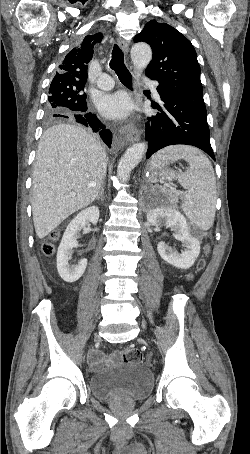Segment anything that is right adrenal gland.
Listing matches in <instances>:
<instances>
[{
	"label": "right adrenal gland",
	"mask_w": 250,
	"mask_h": 454,
	"mask_svg": "<svg viewBox=\"0 0 250 454\" xmlns=\"http://www.w3.org/2000/svg\"><path fill=\"white\" fill-rule=\"evenodd\" d=\"M104 184H105V180H103V182L101 184L100 192L97 195L96 200L101 199L102 201H104V199H105V196H104Z\"/></svg>",
	"instance_id": "right-adrenal-gland-1"
}]
</instances>
